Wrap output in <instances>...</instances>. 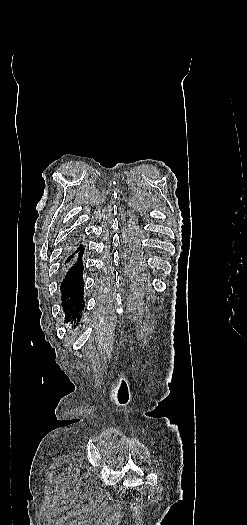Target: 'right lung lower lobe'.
Instances as JSON below:
<instances>
[{
	"label": "right lung lower lobe",
	"instance_id": "1",
	"mask_svg": "<svg viewBox=\"0 0 247 525\" xmlns=\"http://www.w3.org/2000/svg\"><path fill=\"white\" fill-rule=\"evenodd\" d=\"M84 253V246L82 243H79L76 251L67 258L66 263L69 262L72 258H77L75 264L67 272L64 281L61 284L62 292V301L63 308L66 314H68V319L70 316L75 320H79L81 317V312L84 310L83 302V287L84 282L82 278L83 274V263L81 261L82 255Z\"/></svg>",
	"mask_w": 247,
	"mask_h": 525
}]
</instances>
